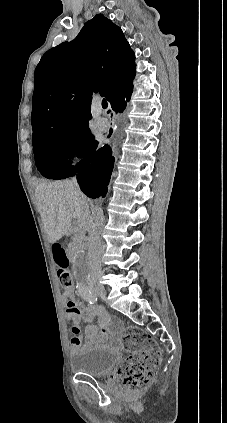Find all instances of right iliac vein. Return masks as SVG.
Returning a JSON list of instances; mask_svg holds the SVG:
<instances>
[{
	"label": "right iliac vein",
	"instance_id": "1",
	"mask_svg": "<svg viewBox=\"0 0 227 423\" xmlns=\"http://www.w3.org/2000/svg\"><path fill=\"white\" fill-rule=\"evenodd\" d=\"M93 292L99 295L101 298H106L107 292L104 288H94Z\"/></svg>",
	"mask_w": 227,
	"mask_h": 423
}]
</instances>
